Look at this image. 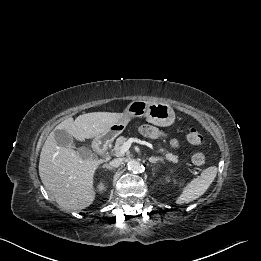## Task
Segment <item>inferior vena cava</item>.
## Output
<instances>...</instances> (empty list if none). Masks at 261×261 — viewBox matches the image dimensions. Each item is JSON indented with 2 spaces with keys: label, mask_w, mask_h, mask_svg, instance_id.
<instances>
[{
  "label": "inferior vena cava",
  "mask_w": 261,
  "mask_h": 261,
  "mask_svg": "<svg viewBox=\"0 0 261 261\" xmlns=\"http://www.w3.org/2000/svg\"><path fill=\"white\" fill-rule=\"evenodd\" d=\"M122 164V159L121 158H116L112 161H110V163L108 164L110 167H114L117 168Z\"/></svg>",
  "instance_id": "1"
}]
</instances>
